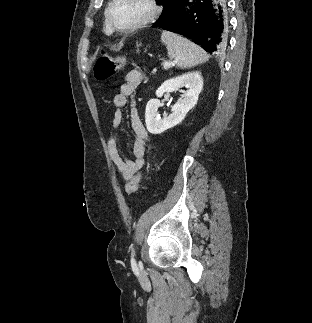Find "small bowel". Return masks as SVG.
<instances>
[{
	"label": "small bowel",
	"mask_w": 312,
	"mask_h": 323,
	"mask_svg": "<svg viewBox=\"0 0 312 323\" xmlns=\"http://www.w3.org/2000/svg\"><path fill=\"white\" fill-rule=\"evenodd\" d=\"M143 79L144 75L138 69H132L126 74L125 82L121 85L119 92L114 96L113 102L115 110L113 111L111 124L107 130V152L116 166L118 174L125 181H129L145 165L148 134L134 106L131 108V127L135 135L132 148L133 159H128L121 155L117 138V133L123 123L122 109L126 106L128 98L134 95Z\"/></svg>",
	"instance_id": "1"
}]
</instances>
